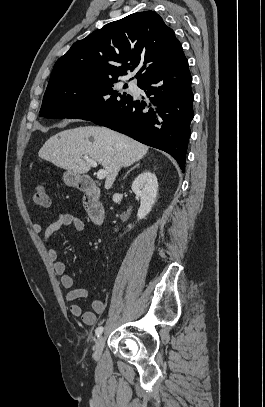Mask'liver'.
<instances>
[{
	"mask_svg": "<svg viewBox=\"0 0 265 407\" xmlns=\"http://www.w3.org/2000/svg\"><path fill=\"white\" fill-rule=\"evenodd\" d=\"M148 149V146L106 127L84 126L50 137L38 154L42 159L77 174L90 170L91 166L83 159L88 156L105 168V188L110 189L120 168L142 159Z\"/></svg>",
	"mask_w": 265,
	"mask_h": 407,
	"instance_id": "1",
	"label": "liver"
}]
</instances>
